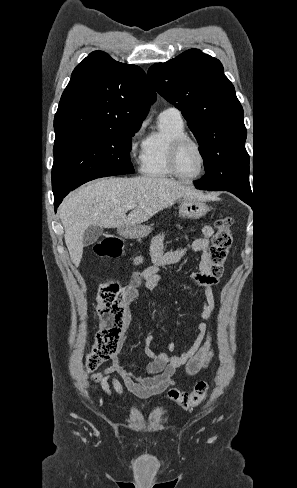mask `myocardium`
Returning <instances> with one entry per match:
<instances>
[{
  "instance_id": "myocardium-1",
  "label": "myocardium",
  "mask_w": 297,
  "mask_h": 488,
  "mask_svg": "<svg viewBox=\"0 0 297 488\" xmlns=\"http://www.w3.org/2000/svg\"><path fill=\"white\" fill-rule=\"evenodd\" d=\"M186 144H193L199 151L200 156H201V168L198 173H196L193 176H185L183 175L179 169H178V156L183 148L184 145ZM168 167L171 171V173L184 181H194L198 178H200L205 172L207 168V154L204 149V147L199 143L196 139L184 135L176 138L170 145L169 151H168Z\"/></svg>"
}]
</instances>
